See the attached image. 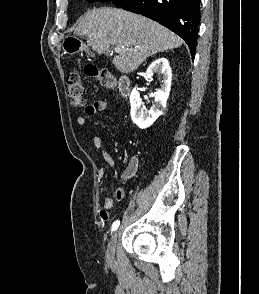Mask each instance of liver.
I'll return each instance as SVG.
<instances>
[{
	"label": "liver",
	"instance_id": "obj_1",
	"mask_svg": "<svg viewBox=\"0 0 259 294\" xmlns=\"http://www.w3.org/2000/svg\"><path fill=\"white\" fill-rule=\"evenodd\" d=\"M73 30L76 35L86 36L88 46L98 54H106L114 45L124 47L113 59L121 73L133 72L148 57L183 43L159 23L117 8L88 11Z\"/></svg>",
	"mask_w": 259,
	"mask_h": 294
}]
</instances>
